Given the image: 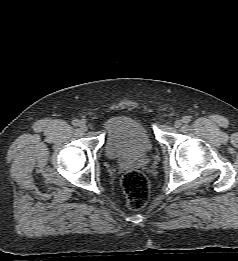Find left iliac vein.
<instances>
[{
	"mask_svg": "<svg viewBox=\"0 0 238 261\" xmlns=\"http://www.w3.org/2000/svg\"><path fill=\"white\" fill-rule=\"evenodd\" d=\"M181 125H182V120H176V121L174 122V127H175V128H179Z\"/></svg>",
	"mask_w": 238,
	"mask_h": 261,
	"instance_id": "1",
	"label": "left iliac vein"
}]
</instances>
